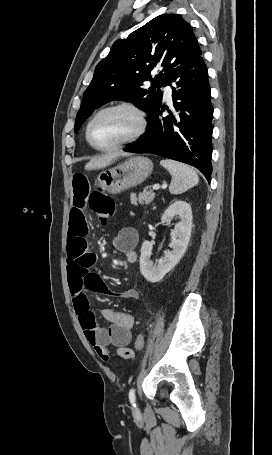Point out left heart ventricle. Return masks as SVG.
<instances>
[{"label":"left heart ventricle","instance_id":"b2bd125f","mask_svg":"<svg viewBox=\"0 0 272 455\" xmlns=\"http://www.w3.org/2000/svg\"><path fill=\"white\" fill-rule=\"evenodd\" d=\"M137 127L135 116L119 109L100 115L92 125L91 138L99 147H109L130 136Z\"/></svg>","mask_w":272,"mask_h":455}]
</instances>
